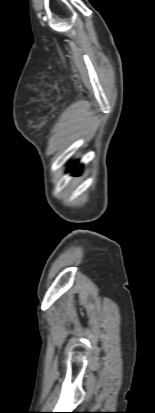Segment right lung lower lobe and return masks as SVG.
Returning <instances> with one entry per match:
<instances>
[{"label":"right lung lower lobe","mask_w":155,"mask_h":413,"mask_svg":"<svg viewBox=\"0 0 155 413\" xmlns=\"http://www.w3.org/2000/svg\"><path fill=\"white\" fill-rule=\"evenodd\" d=\"M82 166H77V162H74L70 165L69 170H73L75 174H79L81 172Z\"/></svg>","instance_id":"obj_1"}]
</instances>
